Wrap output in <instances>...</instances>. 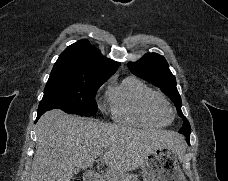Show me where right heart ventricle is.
<instances>
[{
	"label": "right heart ventricle",
	"mask_w": 228,
	"mask_h": 181,
	"mask_svg": "<svg viewBox=\"0 0 228 181\" xmlns=\"http://www.w3.org/2000/svg\"><path fill=\"white\" fill-rule=\"evenodd\" d=\"M107 94L118 122L163 127L170 120L162 96L133 76L119 83L117 76H113L108 81Z\"/></svg>",
	"instance_id": "right-heart-ventricle-1"
}]
</instances>
